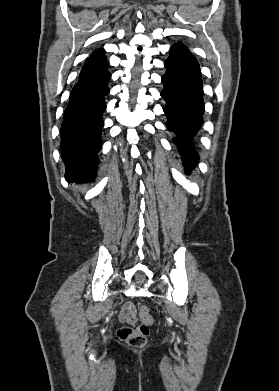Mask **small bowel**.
<instances>
[{
  "mask_svg": "<svg viewBox=\"0 0 279 391\" xmlns=\"http://www.w3.org/2000/svg\"><path fill=\"white\" fill-rule=\"evenodd\" d=\"M119 319L123 323H128L131 325H134L138 321L136 308L131 302H126L120 313H119Z\"/></svg>",
  "mask_w": 279,
  "mask_h": 391,
  "instance_id": "obj_1",
  "label": "small bowel"
}]
</instances>
